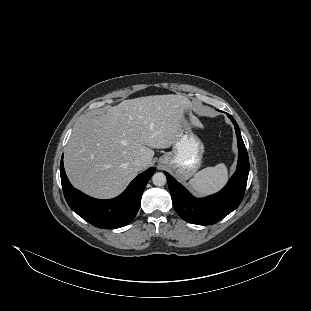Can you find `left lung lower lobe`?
Listing matches in <instances>:
<instances>
[{
  "mask_svg": "<svg viewBox=\"0 0 311 311\" xmlns=\"http://www.w3.org/2000/svg\"><path fill=\"white\" fill-rule=\"evenodd\" d=\"M227 115L233 122L237 135L238 164L235 174L220 192L197 199L165 172L173 206L178 215L187 222L198 225L214 224L236 209L244 197L249 173L248 154L238 124L231 115Z\"/></svg>",
  "mask_w": 311,
  "mask_h": 311,
  "instance_id": "obj_1",
  "label": "left lung lower lobe"
}]
</instances>
